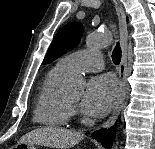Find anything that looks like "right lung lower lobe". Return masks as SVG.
<instances>
[{"mask_svg":"<svg viewBox=\"0 0 155 149\" xmlns=\"http://www.w3.org/2000/svg\"><path fill=\"white\" fill-rule=\"evenodd\" d=\"M92 137L95 138L98 142H100L104 147L109 148L115 137V128H111L108 130L102 128L99 131L93 133Z\"/></svg>","mask_w":155,"mask_h":149,"instance_id":"98d812e1","label":"right lung lower lobe"}]
</instances>
